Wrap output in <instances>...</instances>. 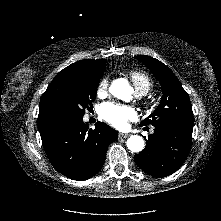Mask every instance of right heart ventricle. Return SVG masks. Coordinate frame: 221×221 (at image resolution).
<instances>
[{"label": "right heart ventricle", "instance_id": "e07e8e85", "mask_svg": "<svg viewBox=\"0 0 221 221\" xmlns=\"http://www.w3.org/2000/svg\"><path fill=\"white\" fill-rule=\"evenodd\" d=\"M129 76L134 84L137 95L142 96L148 93L153 87V80L149 74L140 70H132Z\"/></svg>", "mask_w": 221, "mask_h": 221}]
</instances>
